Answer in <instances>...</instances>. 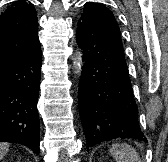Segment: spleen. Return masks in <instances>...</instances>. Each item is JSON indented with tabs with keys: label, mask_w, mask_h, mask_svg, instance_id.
<instances>
[{
	"label": "spleen",
	"mask_w": 168,
	"mask_h": 162,
	"mask_svg": "<svg viewBox=\"0 0 168 162\" xmlns=\"http://www.w3.org/2000/svg\"><path fill=\"white\" fill-rule=\"evenodd\" d=\"M111 155L116 162H141L136 150L128 144L116 143L110 148Z\"/></svg>",
	"instance_id": "spleen-1"
}]
</instances>
